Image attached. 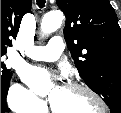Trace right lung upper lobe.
<instances>
[{
    "mask_svg": "<svg viewBox=\"0 0 121 113\" xmlns=\"http://www.w3.org/2000/svg\"><path fill=\"white\" fill-rule=\"evenodd\" d=\"M32 0H1V52L12 46L21 20L25 13H30Z\"/></svg>",
    "mask_w": 121,
    "mask_h": 113,
    "instance_id": "cb5924a9",
    "label": "right lung upper lobe"
}]
</instances>
